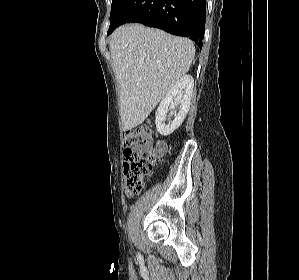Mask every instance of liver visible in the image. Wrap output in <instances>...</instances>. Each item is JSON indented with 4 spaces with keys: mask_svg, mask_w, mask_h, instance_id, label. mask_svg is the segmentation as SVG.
<instances>
[{
    "mask_svg": "<svg viewBox=\"0 0 299 280\" xmlns=\"http://www.w3.org/2000/svg\"><path fill=\"white\" fill-rule=\"evenodd\" d=\"M110 52L120 91L122 128L140 125L175 83L190 69L191 40L141 24L119 27Z\"/></svg>",
    "mask_w": 299,
    "mask_h": 280,
    "instance_id": "obj_1",
    "label": "liver"
}]
</instances>
